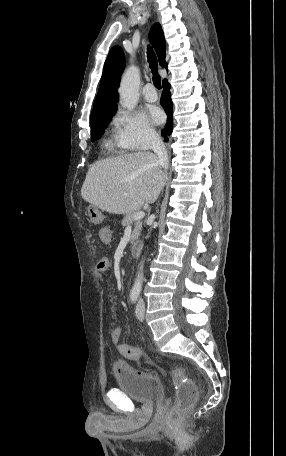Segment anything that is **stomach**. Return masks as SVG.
<instances>
[{
  "instance_id": "0dacf381",
  "label": "stomach",
  "mask_w": 286,
  "mask_h": 456,
  "mask_svg": "<svg viewBox=\"0 0 286 456\" xmlns=\"http://www.w3.org/2000/svg\"><path fill=\"white\" fill-rule=\"evenodd\" d=\"M88 215L92 222H99L102 218V213L93 205L88 208Z\"/></svg>"
}]
</instances>
